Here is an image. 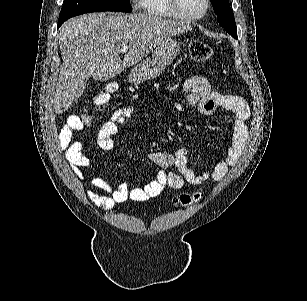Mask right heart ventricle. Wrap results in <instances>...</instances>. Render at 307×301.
Here are the masks:
<instances>
[{
	"label": "right heart ventricle",
	"instance_id": "obj_1",
	"mask_svg": "<svg viewBox=\"0 0 307 301\" xmlns=\"http://www.w3.org/2000/svg\"><path fill=\"white\" fill-rule=\"evenodd\" d=\"M168 1L171 0H139V3L151 17H172L173 11L169 9Z\"/></svg>",
	"mask_w": 307,
	"mask_h": 301
}]
</instances>
